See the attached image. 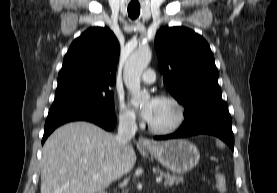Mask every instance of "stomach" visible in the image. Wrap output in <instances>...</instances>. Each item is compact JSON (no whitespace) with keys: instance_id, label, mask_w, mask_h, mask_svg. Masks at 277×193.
Returning a JSON list of instances; mask_svg holds the SVG:
<instances>
[{"instance_id":"stomach-1","label":"stomach","mask_w":277,"mask_h":193,"mask_svg":"<svg viewBox=\"0 0 277 193\" xmlns=\"http://www.w3.org/2000/svg\"><path fill=\"white\" fill-rule=\"evenodd\" d=\"M146 150L164 167L177 174L193 169L200 159L197 147L184 139L157 142Z\"/></svg>"}]
</instances>
